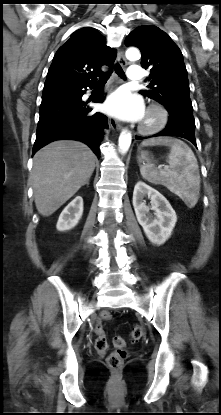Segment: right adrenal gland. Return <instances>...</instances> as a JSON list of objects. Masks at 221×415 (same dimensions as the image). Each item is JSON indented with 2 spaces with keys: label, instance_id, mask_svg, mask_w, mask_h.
<instances>
[{
  "label": "right adrenal gland",
  "instance_id": "2a0ac1e0",
  "mask_svg": "<svg viewBox=\"0 0 221 415\" xmlns=\"http://www.w3.org/2000/svg\"><path fill=\"white\" fill-rule=\"evenodd\" d=\"M89 180H90V178H89V179L87 180V182H86V184H87V185H89Z\"/></svg>",
  "mask_w": 221,
  "mask_h": 415
}]
</instances>
